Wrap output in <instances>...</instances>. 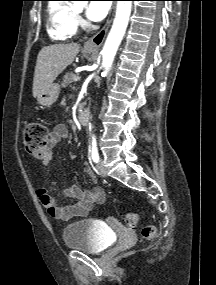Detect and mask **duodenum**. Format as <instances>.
Instances as JSON below:
<instances>
[{
    "label": "duodenum",
    "mask_w": 216,
    "mask_h": 285,
    "mask_svg": "<svg viewBox=\"0 0 216 285\" xmlns=\"http://www.w3.org/2000/svg\"><path fill=\"white\" fill-rule=\"evenodd\" d=\"M78 120L82 125H87L90 120V112L87 109H81L78 113Z\"/></svg>",
    "instance_id": "1"
}]
</instances>
